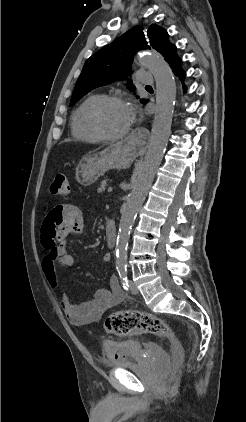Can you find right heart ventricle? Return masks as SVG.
Returning <instances> with one entry per match:
<instances>
[{"instance_id":"1","label":"right heart ventricle","mask_w":246,"mask_h":422,"mask_svg":"<svg viewBox=\"0 0 246 422\" xmlns=\"http://www.w3.org/2000/svg\"><path fill=\"white\" fill-rule=\"evenodd\" d=\"M100 97L102 96L99 94L89 95L73 112L71 117V132L75 139L87 143H98L101 141V139L92 131L87 121L89 108Z\"/></svg>"}]
</instances>
